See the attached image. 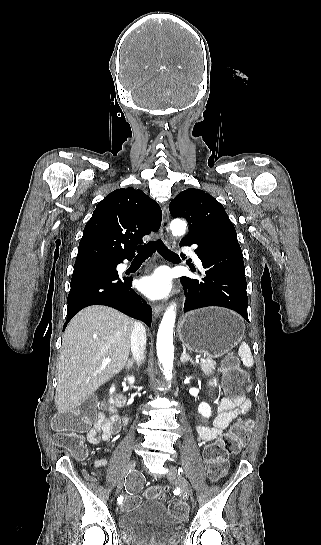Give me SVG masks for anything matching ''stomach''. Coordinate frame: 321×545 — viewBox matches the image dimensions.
I'll use <instances>...</instances> for the list:
<instances>
[{
	"label": "stomach",
	"mask_w": 321,
	"mask_h": 545,
	"mask_svg": "<svg viewBox=\"0 0 321 545\" xmlns=\"http://www.w3.org/2000/svg\"><path fill=\"white\" fill-rule=\"evenodd\" d=\"M245 325L233 311L208 307L186 313L178 325L183 347L200 355L221 357L242 341Z\"/></svg>",
	"instance_id": "1"
}]
</instances>
